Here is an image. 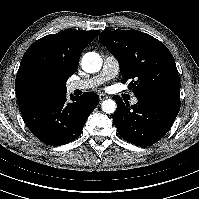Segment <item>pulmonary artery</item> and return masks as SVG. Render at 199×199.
Instances as JSON below:
<instances>
[{"label":"pulmonary artery","instance_id":"obj_1","mask_svg":"<svg viewBox=\"0 0 199 199\" xmlns=\"http://www.w3.org/2000/svg\"><path fill=\"white\" fill-rule=\"evenodd\" d=\"M119 73V63L116 57L111 54H105L103 56V66L101 71L93 77L75 80L69 83L67 89L68 92H74L76 90L87 91L92 90L99 85L113 79ZM132 104L138 102L137 98L134 97L131 100Z\"/></svg>","mask_w":199,"mask_h":199}]
</instances>
